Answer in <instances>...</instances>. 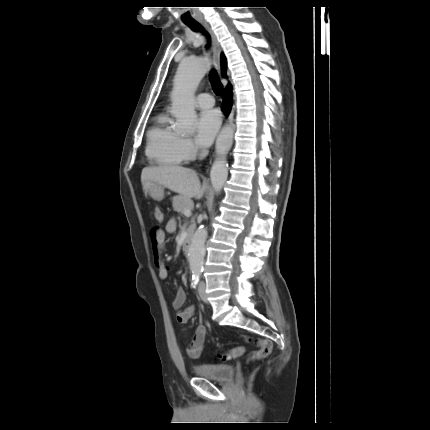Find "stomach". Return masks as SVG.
<instances>
[{"label": "stomach", "mask_w": 430, "mask_h": 430, "mask_svg": "<svg viewBox=\"0 0 430 430\" xmlns=\"http://www.w3.org/2000/svg\"><path fill=\"white\" fill-rule=\"evenodd\" d=\"M143 190L154 200H162L164 197V186L155 181H146L143 183Z\"/></svg>", "instance_id": "1"}]
</instances>
